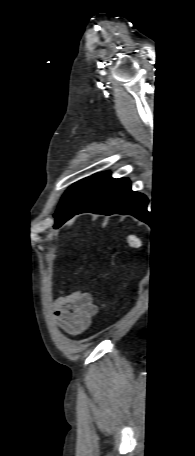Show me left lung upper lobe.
Here are the masks:
<instances>
[{
	"mask_svg": "<svg viewBox=\"0 0 195 456\" xmlns=\"http://www.w3.org/2000/svg\"><path fill=\"white\" fill-rule=\"evenodd\" d=\"M109 172H102L74 183L64 194L54 214L55 228L88 202L108 181Z\"/></svg>",
	"mask_w": 195,
	"mask_h": 456,
	"instance_id": "5c2ea615",
	"label": "left lung upper lobe"
}]
</instances>
